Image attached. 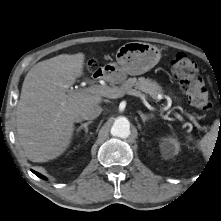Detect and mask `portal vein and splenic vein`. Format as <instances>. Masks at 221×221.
<instances>
[{"label": "portal vein and splenic vein", "mask_w": 221, "mask_h": 221, "mask_svg": "<svg viewBox=\"0 0 221 221\" xmlns=\"http://www.w3.org/2000/svg\"><path fill=\"white\" fill-rule=\"evenodd\" d=\"M84 91L87 93H91V94H100L108 98H119V97L124 96L125 94H128V95L139 97L141 100L146 101L145 95L135 89L125 91V92H117L116 90L108 86L92 85L90 87L85 88ZM175 116L178 119H181V116L179 114L175 113ZM187 117L194 123L195 126H199L198 122L195 120V117H193L190 114H187Z\"/></svg>", "instance_id": "18ae733b"}]
</instances>
